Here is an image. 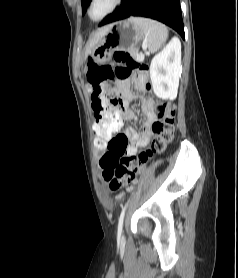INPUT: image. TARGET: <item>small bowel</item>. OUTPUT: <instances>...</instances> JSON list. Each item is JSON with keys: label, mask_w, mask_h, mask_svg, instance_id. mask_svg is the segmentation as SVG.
Segmentation results:
<instances>
[{"label": "small bowel", "mask_w": 238, "mask_h": 278, "mask_svg": "<svg viewBox=\"0 0 238 278\" xmlns=\"http://www.w3.org/2000/svg\"><path fill=\"white\" fill-rule=\"evenodd\" d=\"M115 68L119 69L120 65L116 64ZM116 80H117L116 88L121 89V95L123 98L122 119L133 120L136 118L134 112L130 109L129 104L136 97H141L142 112L146 117V121L144 122L142 126V131L140 133L135 131L133 128L128 127L123 132H119L117 135L106 136L105 141L108 142V145L109 144H129V149H125V154L133 155L140 148L148 144L150 135L152 133V129H151L152 123L156 119V114L154 109L155 104L152 98H144L143 96L132 95L129 91L130 81L128 79H124L121 81V77L117 76ZM134 84L138 92H140L141 94H144L146 92V88L143 80L135 78ZM95 130H101V129H95Z\"/></svg>", "instance_id": "obj_1"}]
</instances>
